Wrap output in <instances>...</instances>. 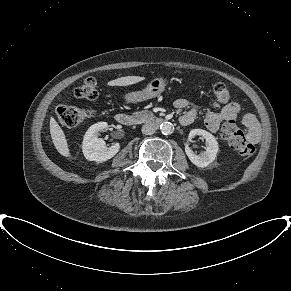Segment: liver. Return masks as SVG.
<instances>
[{"label":"liver","instance_id":"liver-1","mask_svg":"<svg viewBox=\"0 0 291 291\" xmlns=\"http://www.w3.org/2000/svg\"><path fill=\"white\" fill-rule=\"evenodd\" d=\"M145 79V77L141 76H126V77H120L115 80L109 81V86H128L133 85L138 82H141ZM50 134L53 141V144L57 151L64 157L69 156V148L67 144V140L65 137V134L57 121L54 119V117L50 118Z\"/></svg>","mask_w":291,"mask_h":291}]
</instances>
